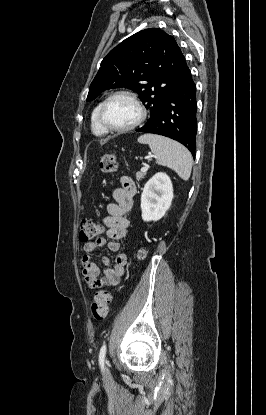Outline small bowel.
<instances>
[{"label": "small bowel", "instance_id": "small-bowel-1", "mask_svg": "<svg viewBox=\"0 0 266 415\" xmlns=\"http://www.w3.org/2000/svg\"><path fill=\"white\" fill-rule=\"evenodd\" d=\"M121 187L113 190L114 203L107 206L108 215L104 219L107 226V237L97 238L93 241L85 242L82 257V274L86 283L90 288H102L107 286H115L119 283L121 277L125 273L127 264V256L124 253L117 254L114 265L104 256L101 259L105 268L102 270L94 263L89 256L96 249L107 246L113 252L120 249V240L126 237L130 228V221L125 215L133 209L137 189L134 181L130 177L121 178Z\"/></svg>", "mask_w": 266, "mask_h": 415}]
</instances>
